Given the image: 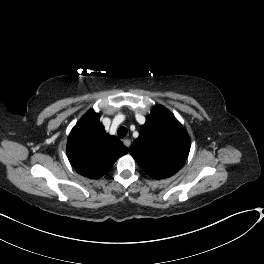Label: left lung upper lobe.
<instances>
[{"mask_svg":"<svg viewBox=\"0 0 264 264\" xmlns=\"http://www.w3.org/2000/svg\"><path fill=\"white\" fill-rule=\"evenodd\" d=\"M190 151L187 132L163 106L157 105L146 118L129 152L152 178H167L184 165Z\"/></svg>","mask_w":264,"mask_h":264,"instance_id":"left-lung-upper-lobe-1","label":"left lung upper lobe"}]
</instances>
